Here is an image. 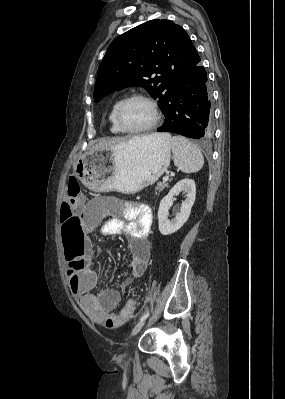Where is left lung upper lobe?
<instances>
[{"mask_svg":"<svg viewBox=\"0 0 285 399\" xmlns=\"http://www.w3.org/2000/svg\"><path fill=\"white\" fill-rule=\"evenodd\" d=\"M200 57L183 28L151 20L123 33L108 47L98 68L94 100L129 86L145 88L165 107L176 79Z\"/></svg>","mask_w":285,"mask_h":399,"instance_id":"1","label":"left lung upper lobe"}]
</instances>
